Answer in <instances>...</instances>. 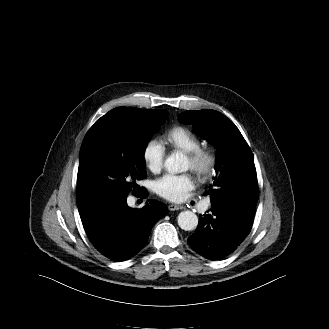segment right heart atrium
<instances>
[{
	"label": "right heart atrium",
	"instance_id": "obj_1",
	"mask_svg": "<svg viewBox=\"0 0 329 329\" xmlns=\"http://www.w3.org/2000/svg\"><path fill=\"white\" fill-rule=\"evenodd\" d=\"M166 150L162 142L157 138H150L144 145L142 150V159L152 172H158L165 160Z\"/></svg>",
	"mask_w": 329,
	"mask_h": 329
}]
</instances>
